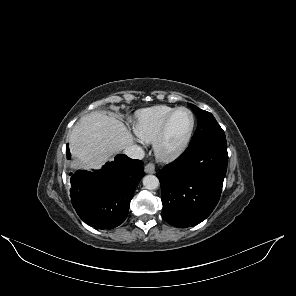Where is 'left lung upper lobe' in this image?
Wrapping results in <instances>:
<instances>
[{
    "label": "left lung upper lobe",
    "instance_id": "5c2ea615",
    "mask_svg": "<svg viewBox=\"0 0 296 296\" xmlns=\"http://www.w3.org/2000/svg\"><path fill=\"white\" fill-rule=\"evenodd\" d=\"M188 105L196 114L198 121V127L191 139L189 146H194L213 139L225 138L223 129L220 127L211 113L199 109L193 104Z\"/></svg>",
    "mask_w": 296,
    "mask_h": 296
}]
</instances>
